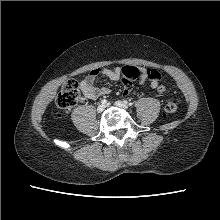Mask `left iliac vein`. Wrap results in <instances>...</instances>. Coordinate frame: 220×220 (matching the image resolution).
<instances>
[{
	"instance_id": "left-iliac-vein-1",
	"label": "left iliac vein",
	"mask_w": 220,
	"mask_h": 220,
	"mask_svg": "<svg viewBox=\"0 0 220 220\" xmlns=\"http://www.w3.org/2000/svg\"><path fill=\"white\" fill-rule=\"evenodd\" d=\"M115 105L119 108H122V109H127L128 108V105L127 103L123 102V101H116L115 102Z\"/></svg>"
}]
</instances>
